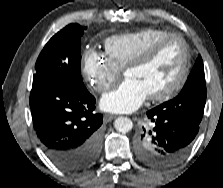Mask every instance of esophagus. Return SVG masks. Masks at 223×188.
I'll list each match as a JSON object with an SVG mask.
<instances>
[{"label": "esophagus", "instance_id": "obj_1", "mask_svg": "<svg viewBox=\"0 0 223 188\" xmlns=\"http://www.w3.org/2000/svg\"><path fill=\"white\" fill-rule=\"evenodd\" d=\"M115 118H116V115L106 114V115H104V118L103 119H104L105 122H110V121H112Z\"/></svg>", "mask_w": 223, "mask_h": 188}]
</instances>
